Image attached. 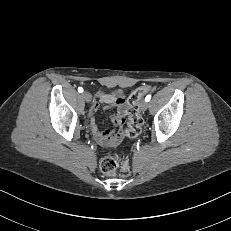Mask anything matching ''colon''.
I'll use <instances>...</instances> for the list:
<instances>
[{"label": "colon", "instance_id": "obj_1", "mask_svg": "<svg viewBox=\"0 0 231 231\" xmlns=\"http://www.w3.org/2000/svg\"><path fill=\"white\" fill-rule=\"evenodd\" d=\"M151 89L150 86H141L135 89L127 99L125 120L127 127L124 135L129 138L137 137L142 128L143 120L140 114V100ZM101 172L106 176H114L117 173H127L130 169L128 157H119L115 154L106 155L100 163Z\"/></svg>", "mask_w": 231, "mask_h": 231}]
</instances>
